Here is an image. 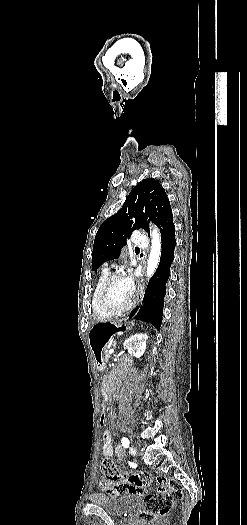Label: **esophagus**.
Segmentation results:
<instances>
[{"label":"esophagus","instance_id":"obj_1","mask_svg":"<svg viewBox=\"0 0 247 525\" xmlns=\"http://www.w3.org/2000/svg\"><path fill=\"white\" fill-rule=\"evenodd\" d=\"M144 276H145V269H140L138 279H143ZM142 283H143V280H140V282H138V285H142ZM143 295H144L143 288L141 286H138L137 295H136V304H135V307L132 309V311L129 314L130 317L137 315L142 305Z\"/></svg>","mask_w":247,"mask_h":525}]
</instances>
